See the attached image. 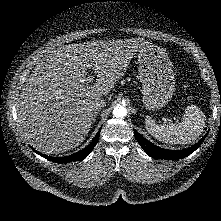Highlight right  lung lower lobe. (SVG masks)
<instances>
[{
    "mask_svg": "<svg viewBox=\"0 0 221 221\" xmlns=\"http://www.w3.org/2000/svg\"><path fill=\"white\" fill-rule=\"evenodd\" d=\"M99 134L100 132H98L96 134V136L94 137V139L92 140V142L86 147L84 148L83 150L75 153V154H72L70 156H66V157H51V156H44L46 159L50 160V161H53V162H57V163H68V162H71V161H80V160H83L84 158H86L90 152L93 150V148L95 147L98 139H99ZM37 152V151H36ZM39 155H42L40 154L39 152H37Z\"/></svg>",
    "mask_w": 221,
    "mask_h": 221,
    "instance_id": "1",
    "label": "right lung lower lobe"
}]
</instances>
